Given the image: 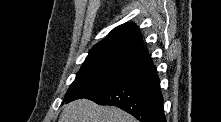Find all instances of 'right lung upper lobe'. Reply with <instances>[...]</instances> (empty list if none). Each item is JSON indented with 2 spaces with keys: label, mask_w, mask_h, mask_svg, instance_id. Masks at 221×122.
<instances>
[{
  "label": "right lung upper lobe",
  "mask_w": 221,
  "mask_h": 122,
  "mask_svg": "<svg viewBox=\"0 0 221 122\" xmlns=\"http://www.w3.org/2000/svg\"><path fill=\"white\" fill-rule=\"evenodd\" d=\"M148 56L141 35L133 23H125L113 29L109 35L96 44L85 62L101 58H124L140 61Z\"/></svg>",
  "instance_id": "obj_1"
}]
</instances>
